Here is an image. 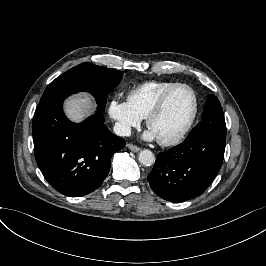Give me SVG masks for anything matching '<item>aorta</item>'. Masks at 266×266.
Listing matches in <instances>:
<instances>
[{"label": "aorta", "instance_id": "obj_1", "mask_svg": "<svg viewBox=\"0 0 266 266\" xmlns=\"http://www.w3.org/2000/svg\"><path fill=\"white\" fill-rule=\"evenodd\" d=\"M139 162L146 166H152L155 163L154 154L150 150H142L139 154Z\"/></svg>", "mask_w": 266, "mask_h": 266}]
</instances>
